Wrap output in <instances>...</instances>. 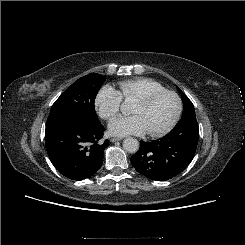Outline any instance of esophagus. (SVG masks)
<instances>
[{
	"mask_svg": "<svg viewBox=\"0 0 245 245\" xmlns=\"http://www.w3.org/2000/svg\"><path fill=\"white\" fill-rule=\"evenodd\" d=\"M121 138H118V137H114V138H111L110 141L111 142H116V141H120Z\"/></svg>",
	"mask_w": 245,
	"mask_h": 245,
	"instance_id": "obj_1",
	"label": "esophagus"
}]
</instances>
